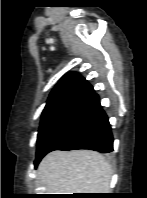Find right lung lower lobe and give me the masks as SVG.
<instances>
[{
    "label": "right lung lower lobe",
    "instance_id": "98d812e1",
    "mask_svg": "<svg viewBox=\"0 0 147 198\" xmlns=\"http://www.w3.org/2000/svg\"><path fill=\"white\" fill-rule=\"evenodd\" d=\"M90 149L101 153L113 151V137L108 117L99 97L92 92L74 106L36 154L35 165L50 151Z\"/></svg>",
    "mask_w": 147,
    "mask_h": 198
}]
</instances>
